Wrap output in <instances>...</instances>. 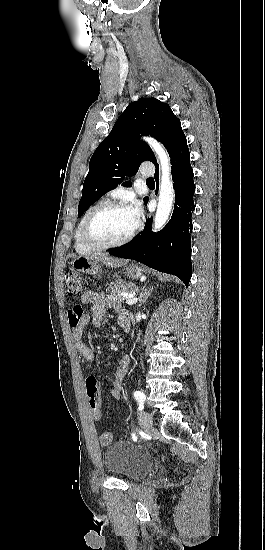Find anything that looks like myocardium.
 I'll list each match as a JSON object with an SVG mask.
<instances>
[{
	"label": "myocardium",
	"mask_w": 265,
	"mask_h": 550,
	"mask_svg": "<svg viewBox=\"0 0 265 550\" xmlns=\"http://www.w3.org/2000/svg\"><path fill=\"white\" fill-rule=\"evenodd\" d=\"M129 208L124 202L121 201H104L103 203L92 209L84 218L81 226V237L86 245L93 249H110L120 247L130 242L140 229V223L138 222L134 229L126 235L124 238L113 242H102L93 237L90 233V225L94 218L100 213L109 209H125Z\"/></svg>",
	"instance_id": "1"
}]
</instances>
